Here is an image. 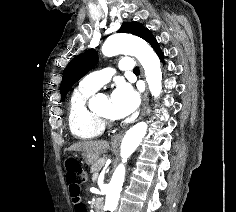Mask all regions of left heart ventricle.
<instances>
[{
    "label": "left heart ventricle",
    "instance_id": "b2bd125f",
    "mask_svg": "<svg viewBox=\"0 0 236 212\" xmlns=\"http://www.w3.org/2000/svg\"><path fill=\"white\" fill-rule=\"evenodd\" d=\"M98 112L111 116L113 117L112 113H111V99L110 97H106L102 100Z\"/></svg>",
    "mask_w": 236,
    "mask_h": 212
}]
</instances>
